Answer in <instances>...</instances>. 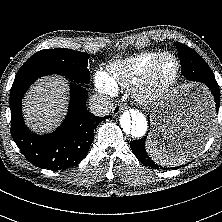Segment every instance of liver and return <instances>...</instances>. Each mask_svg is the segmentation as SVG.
I'll use <instances>...</instances> for the list:
<instances>
[{"mask_svg":"<svg viewBox=\"0 0 222 222\" xmlns=\"http://www.w3.org/2000/svg\"><path fill=\"white\" fill-rule=\"evenodd\" d=\"M67 102L68 88L65 79L46 77L39 80L23 101L27 125L38 132L52 130L64 116Z\"/></svg>","mask_w":222,"mask_h":222,"instance_id":"liver-1","label":"liver"}]
</instances>
